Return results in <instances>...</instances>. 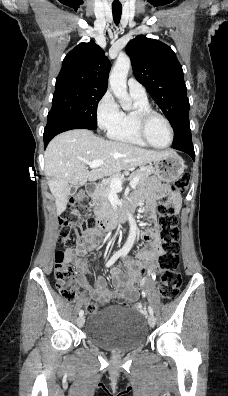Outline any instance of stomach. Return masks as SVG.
Here are the masks:
<instances>
[{
    "mask_svg": "<svg viewBox=\"0 0 228 396\" xmlns=\"http://www.w3.org/2000/svg\"><path fill=\"white\" fill-rule=\"evenodd\" d=\"M153 173L163 182H173L184 172L185 163L175 152H170L163 158L154 161Z\"/></svg>",
    "mask_w": 228,
    "mask_h": 396,
    "instance_id": "stomach-1",
    "label": "stomach"
}]
</instances>
